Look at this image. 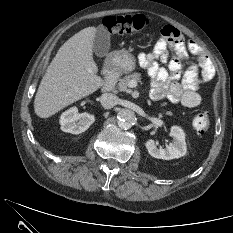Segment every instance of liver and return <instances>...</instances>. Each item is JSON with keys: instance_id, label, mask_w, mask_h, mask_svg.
I'll return each instance as SVG.
<instances>
[{"instance_id": "1", "label": "liver", "mask_w": 233, "mask_h": 233, "mask_svg": "<svg viewBox=\"0 0 233 233\" xmlns=\"http://www.w3.org/2000/svg\"><path fill=\"white\" fill-rule=\"evenodd\" d=\"M96 30L87 27L59 48L35 95L34 110L40 118L54 115L104 85L92 54Z\"/></svg>"}]
</instances>
